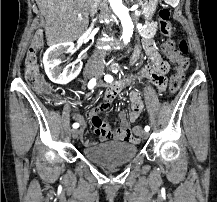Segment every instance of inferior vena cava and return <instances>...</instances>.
Returning a JSON list of instances; mask_svg holds the SVG:
<instances>
[{
	"instance_id": "1",
	"label": "inferior vena cava",
	"mask_w": 217,
	"mask_h": 202,
	"mask_svg": "<svg viewBox=\"0 0 217 202\" xmlns=\"http://www.w3.org/2000/svg\"><path fill=\"white\" fill-rule=\"evenodd\" d=\"M99 2H100V0H89V6H90L91 14H95V12L98 8ZM94 56H97V58H103L104 52H100V50H96Z\"/></svg>"
}]
</instances>
